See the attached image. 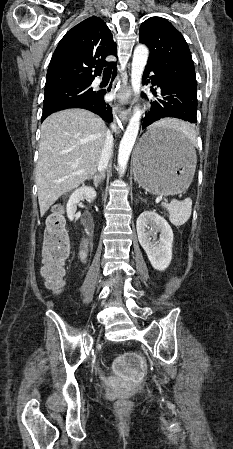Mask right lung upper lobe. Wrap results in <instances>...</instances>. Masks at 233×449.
Segmentation results:
<instances>
[{"instance_id":"1","label":"right lung upper lobe","mask_w":233,"mask_h":449,"mask_svg":"<svg viewBox=\"0 0 233 449\" xmlns=\"http://www.w3.org/2000/svg\"><path fill=\"white\" fill-rule=\"evenodd\" d=\"M117 56V45L107 25L97 17L77 24L59 42L46 76L45 91L66 85L89 84L101 74L105 58ZM95 67L94 75L91 68Z\"/></svg>"}]
</instances>
